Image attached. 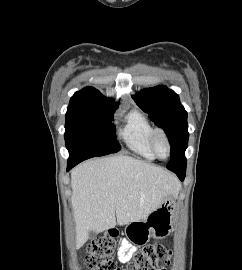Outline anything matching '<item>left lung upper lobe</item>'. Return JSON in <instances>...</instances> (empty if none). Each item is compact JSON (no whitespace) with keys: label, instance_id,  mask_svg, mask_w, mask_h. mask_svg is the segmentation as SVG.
<instances>
[{"label":"left lung upper lobe","instance_id":"5c2ea615","mask_svg":"<svg viewBox=\"0 0 242 270\" xmlns=\"http://www.w3.org/2000/svg\"><path fill=\"white\" fill-rule=\"evenodd\" d=\"M138 106L162 128L170 142L171 159L167 168L175 173L186 172L184 156L188 145L187 112L181 105L179 96L166 86L144 89L140 95L132 96Z\"/></svg>","mask_w":242,"mask_h":270}]
</instances>
